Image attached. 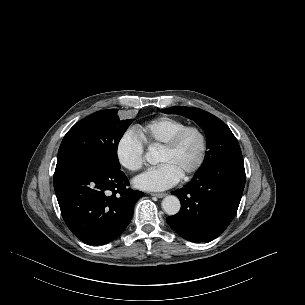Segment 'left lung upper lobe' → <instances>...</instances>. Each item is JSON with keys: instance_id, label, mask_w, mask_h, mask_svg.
<instances>
[{"instance_id": "obj_1", "label": "left lung upper lobe", "mask_w": 305, "mask_h": 305, "mask_svg": "<svg viewBox=\"0 0 305 305\" xmlns=\"http://www.w3.org/2000/svg\"><path fill=\"white\" fill-rule=\"evenodd\" d=\"M162 112L166 114L180 113L182 116L194 120L205 131L208 151L199 171L230 155L241 154L236 137L229 127L216 116L198 108L185 106L170 107L163 109Z\"/></svg>"}]
</instances>
